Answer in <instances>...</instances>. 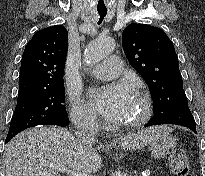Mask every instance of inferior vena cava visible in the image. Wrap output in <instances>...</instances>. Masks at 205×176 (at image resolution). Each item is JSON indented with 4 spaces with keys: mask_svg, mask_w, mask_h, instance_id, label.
I'll use <instances>...</instances> for the list:
<instances>
[{
    "mask_svg": "<svg viewBox=\"0 0 205 176\" xmlns=\"http://www.w3.org/2000/svg\"><path fill=\"white\" fill-rule=\"evenodd\" d=\"M75 136L83 144H93L96 141L98 125L93 117H79L75 120Z\"/></svg>",
    "mask_w": 205,
    "mask_h": 176,
    "instance_id": "obj_1",
    "label": "inferior vena cava"
}]
</instances>
